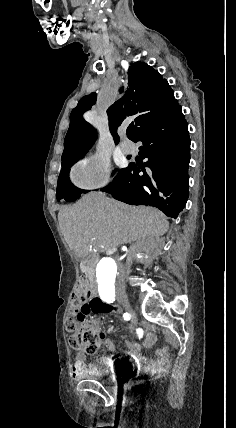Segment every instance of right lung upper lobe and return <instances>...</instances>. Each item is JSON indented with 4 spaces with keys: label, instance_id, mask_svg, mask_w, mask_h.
I'll return each mask as SVG.
<instances>
[{
    "label": "right lung upper lobe",
    "instance_id": "right-lung-upper-lobe-1",
    "mask_svg": "<svg viewBox=\"0 0 236 428\" xmlns=\"http://www.w3.org/2000/svg\"><path fill=\"white\" fill-rule=\"evenodd\" d=\"M128 73L129 88L125 95L107 110L110 131L115 142L119 140L117 127L129 116L133 117L131 125L135 124L128 135L131 139L147 123L168 114L179 105L167 80L151 66L144 62H135L130 65ZM95 101L96 93L84 96L70 114L61 170L84 156L95 141V129L82 117Z\"/></svg>",
    "mask_w": 236,
    "mask_h": 428
}]
</instances>
